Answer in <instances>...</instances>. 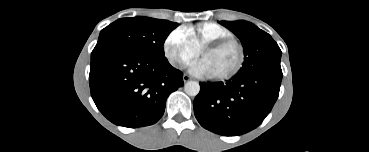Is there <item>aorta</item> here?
I'll list each match as a JSON object with an SVG mask.
<instances>
[{
  "label": "aorta",
  "instance_id": "762f6f07",
  "mask_svg": "<svg viewBox=\"0 0 369 152\" xmlns=\"http://www.w3.org/2000/svg\"><path fill=\"white\" fill-rule=\"evenodd\" d=\"M184 91L189 96H197L200 91V85L196 81H188L184 85Z\"/></svg>",
  "mask_w": 369,
  "mask_h": 152
}]
</instances>
